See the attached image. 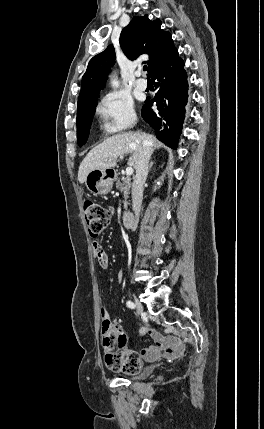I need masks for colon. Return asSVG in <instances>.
<instances>
[{"label": "colon", "mask_w": 264, "mask_h": 429, "mask_svg": "<svg viewBox=\"0 0 264 429\" xmlns=\"http://www.w3.org/2000/svg\"><path fill=\"white\" fill-rule=\"evenodd\" d=\"M84 214L91 236H98L109 224L110 211L93 200L84 202ZM102 345L106 353L108 366L115 371L135 374L140 370L141 362L136 354H125L127 338L118 324L110 321L103 309Z\"/></svg>", "instance_id": "1"}]
</instances>
